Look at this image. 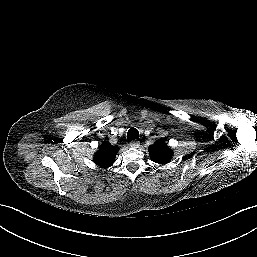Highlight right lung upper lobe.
<instances>
[{"mask_svg":"<svg viewBox=\"0 0 257 257\" xmlns=\"http://www.w3.org/2000/svg\"><path fill=\"white\" fill-rule=\"evenodd\" d=\"M118 148L104 141L95 154L93 161L104 168L111 166L116 158Z\"/></svg>","mask_w":257,"mask_h":257,"instance_id":"1","label":"right lung upper lobe"}]
</instances>
